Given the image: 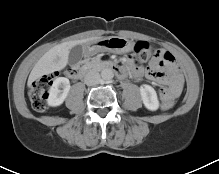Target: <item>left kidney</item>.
Listing matches in <instances>:
<instances>
[{
    "label": "left kidney",
    "mask_w": 219,
    "mask_h": 174,
    "mask_svg": "<svg viewBox=\"0 0 219 174\" xmlns=\"http://www.w3.org/2000/svg\"><path fill=\"white\" fill-rule=\"evenodd\" d=\"M140 94L144 106L151 111H156L159 108L157 93L153 87L144 84L140 87Z\"/></svg>",
    "instance_id": "1"
}]
</instances>
